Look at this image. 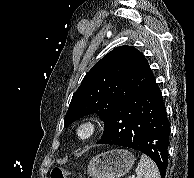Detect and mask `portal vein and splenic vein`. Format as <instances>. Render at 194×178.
I'll return each mask as SVG.
<instances>
[{"label":"portal vein and splenic vein","mask_w":194,"mask_h":178,"mask_svg":"<svg viewBox=\"0 0 194 178\" xmlns=\"http://www.w3.org/2000/svg\"><path fill=\"white\" fill-rule=\"evenodd\" d=\"M127 178H134V177L129 176V177H127Z\"/></svg>","instance_id":"obj_1"}]
</instances>
